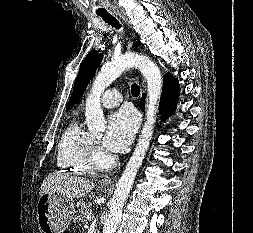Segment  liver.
<instances>
[{"instance_id": "obj_1", "label": "liver", "mask_w": 253, "mask_h": 233, "mask_svg": "<svg viewBox=\"0 0 253 233\" xmlns=\"http://www.w3.org/2000/svg\"><path fill=\"white\" fill-rule=\"evenodd\" d=\"M94 186L90 180L53 172L44 179L39 195L58 193L68 198H81L93 190Z\"/></svg>"}]
</instances>
